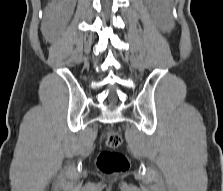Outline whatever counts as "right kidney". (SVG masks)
Listing matches in <instances>:
<instances>
[{
  "mask_svg": "<svg viewBox=\"0 0 223 191\" xmlns=\"http://www.w3.org/2000/svg\"><path fill=\"white\" fill-rule=\"evenodd\" d=\"M75 0H54L46 8L42 23L44 37L51 40L60 23L65 24L71 17Z\"/></svg>",
  "mask_w": 223,
  "mask_h": 191,
  "instance_id": "obj_1",
  "label": "right kidney"
}]
</instances>
